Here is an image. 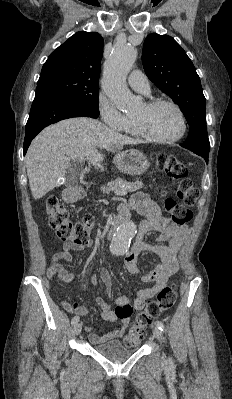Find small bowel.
I'll use <instances>...</instances> for the list:
<instances>
[{"mask_svg": "<svg viewBox=\"0 0 232 399\" xmlns=\"http://www.w3.org/2000/svg\"><path fill=\"white\" fill-rule=\"evenodd\" d=\"M132 206L141 211L145 215V220L140 227V235L143 236L152 230L159 231V236L153 241L138 240L134 247L130 248L125 253L126 269L132 273H138L139 267L137 264V257L141 250H150L157 253L161 261L157 263L148 274L142 277L143 282H153V286L141 290L137 297L133 300L125 296L117 297L114 300L115 308L105 301L103 297L97 299V304L100 308V317L105 321H119V326L114 328L105 336L92 331L91 327L86 324H80L79 328L88 333L89 340L92 345L98 346L104 343L110 345L119 344V336L123 334L129 326L130 316L134 309H142L146 301L153 295L161 291L173 277L179 264V253L181 252L186 234V226H176L169 221H164L160 218L161 205L158 200L149 197L147 194L138 192L134 193L131 198ZM169 242V247H164V242ZM92 247V242H65L63 249L54 253L51 258V263L46 269V277L52 279L58 277L61 282H70L78 276L76 271H67L63 264L72 261L73 251L89 249ZM100 255L98 253L91 254L87 260L80 264V268L84 269L91 262L98 260ZM100 278L103 282L109 283L111 281L110 273L107 270H102ZM93 285H98L99 280L97 276H91ZM112 290H108L112 294ZM63 307L70 313L81 314L89 316V309L77 302H72L68 299L62 301Z\"/></svg>", "mask_w": 232, "mask_h": 399, "instance_id": "small-bowel-1", "label": "small bowel"}]
</instances>
